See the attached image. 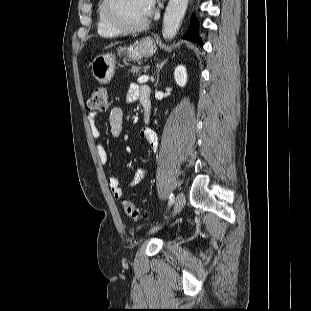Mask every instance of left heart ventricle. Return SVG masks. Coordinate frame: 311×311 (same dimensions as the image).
<instances>
[{
    "label": "left heart ventricle",
    "instance_id": "1",
    "mask_svg": "<svg viewBox=\"0 0 311 311\" xmlns=\"http://www.w3.org/2000/svg\"><path fill=\"white\" fill-rule=\"evenodd\" d=\"M115 12L120 21L128 26L140 25L149 17L144 0H118Z\"/></svg>",
    "mask_w": 311,
    "mask_h": 311
}]
</instances>
